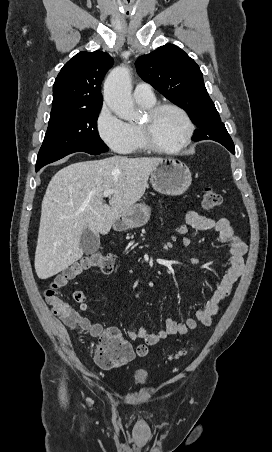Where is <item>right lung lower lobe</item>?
<instances>
[{"label": "right lung lower lobe", "instance_id": "98d812e1", "mask_svg": "<svg viewBox=\"0 0 272 452\" xmlns=\"http://www.w3.org/2000/svg\"><path fill=\"white\" fill-rule=\"evenodd\" d=\"M74 152H86V153L93 154V155L100 154V153H91V152H88V151L83 150V149H74V150H71V151H69L67 153H64L62 155H59V156H52V157H47V158H43V159L37 160L36 168H35L36 172L39 171L43 166H45V165H47L49 163L55 162V161L65 157V156H67V155H69L71 153H74Z\"/></svg>", "mask_w": 272, "mask_h": 452}]
</instances>
